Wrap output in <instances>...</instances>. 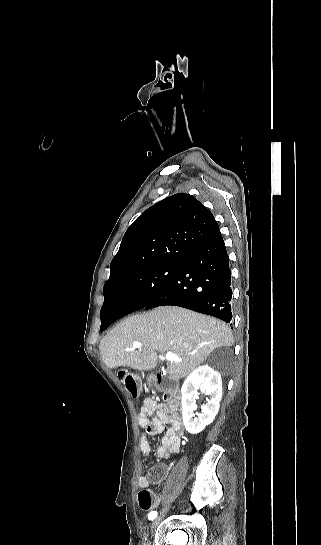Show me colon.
<instances>
[{
	"label": "colon",
	"instance_id": "obj_1",
	"mask_svg": "<svg viewBox=\"0 0 321 545\" xmlns=\"http://www.w3.org/2000/svg\"><path fill=\"white\" fill-rule=\"evenodd\" d=\"M118 377L130 396L137 398L139 396V382L137 377L127 369L119 370ZM138 502L140 508L144 511H151L158 505L157 497L148 489H142L138 493Z\"/></svg>",
	"mask_w": 321,
	"mask_h": 545
}]
</instances>
